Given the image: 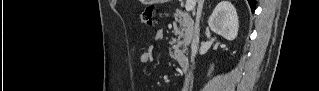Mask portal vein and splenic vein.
<instances>
[{"label":"portal vein and splenic vein","instance_id":"1","mask_svg":"<svg viewBox=\"0 0 319 91\" xmlns=\"http://www.w3.org/2000/svg\"><path fill=\"white\" fill-rule=\"evenodd\" d=\"M195 5H196V2L194 0H187L185 5L186 11L190 12L194 10Z\"/></svg>","mask_w":319,"mask_h":91}]
</instances>
